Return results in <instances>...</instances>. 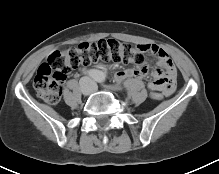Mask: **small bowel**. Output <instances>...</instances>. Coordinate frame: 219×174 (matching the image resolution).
<instances>
[{"label": "small bowel", "mask_w": 219, "mask_h": 174, "mask_svg": "<svg viewBox=\"0 0 219 174\" xmlns=\"http://www.w3.org/2000/svg\"><path fill=\"white\" fill-rule=\"evenodd\" d=\"M141 50L150 51L159 58V66L154 72L155 80L149 82L150 90H161L165 96H170L175 90L176 68L170 59L168 53L157 45L140 44L137 46ZM147 74V68L124 69L115 74L117 81L125 78L136 77L144 78Z\"/></svg>", "instance_id": "small-bowel-1"}]
</instances>
